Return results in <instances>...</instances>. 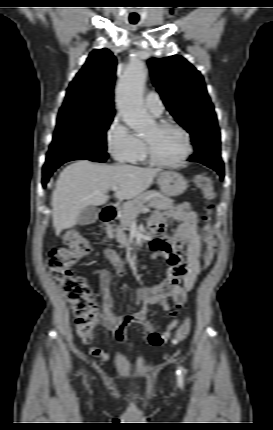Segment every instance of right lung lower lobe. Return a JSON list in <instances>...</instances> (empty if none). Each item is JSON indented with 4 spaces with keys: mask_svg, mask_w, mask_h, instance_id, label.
Segmentation results:
<instances>
[{
    "mask_svg": "<svg viewBox=\"0 0 273 430\" xmlns=\"http://www.w3.org/2000/svg\"><path fill=\"white\" fill-rule=\"evenodd\" d=\"M107 157H108V154L105 152V153H103V154H101V155H98V156H95V157H91V158H88L89 160H91V161H94V162H104V161H106V159H107ZM61 165V164H60ZM60 165H57V166H54V167H51V168H45V169H43V180H42V184H43V186H45L46 185V183L48 182V180H49V177L52 175V173L60 166Z\"/></svg>",
    "mask_w": 273,
    "mask_h": 430,
    "instance_id": "98d812e1",
    "label": "right lung lower lobe"
}]
</instances>
